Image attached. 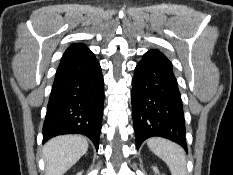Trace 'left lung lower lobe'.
<instances>
[{
  "label": "left lung lower lobe",
  "instance_id": "1",
  "mask_svg": "<svg viewBox=\"0 0 233 175\" xmlns=\"http://www.w3.org/2000/svg\"><path fill=\"white\" fill-rule=\"evenodd\" d=\"M132 114L137 148L159 136L187 150L181 95L172 63L159 50L146 52L132 80Z\"/></svg>",
  "mask_w": 233,
  "mask_h": 175
}]
</instances>
